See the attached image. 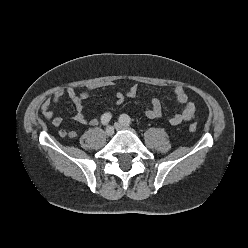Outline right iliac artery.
Returning <instances> with one entry per match:
<instances>
[{
	"label": "right iliac artery",
	"mask_w": 248,
	"mask_h": 248,
	"mask_svg": "<svg viewBox=\"0 0 248 248\" xmlns=\"http://www.w3.org/2000/svg\"><path fill=\"white\" fill-rule=\"evenodd\" d=\"M111 118H112V115L110 113H105L101 117V123L103 125H107L110 122Z\"/></svg>",
	"instance_id": "right-iliac-artery-1"
}]
</instances>
